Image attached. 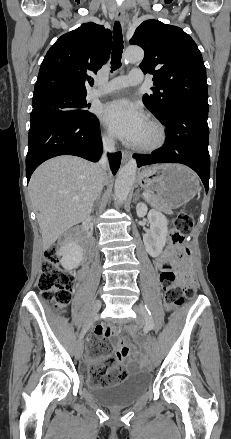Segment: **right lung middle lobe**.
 I'll use <instances>...</instances> for the list:
<instances>
[{
  "mask_svg": "<svg viewBox=\"0 0 231 439\" xmlns=\"http://www.w3.org/2000/svg\"><path fill=\"white\" fill-rule=\"evenodd\" d=\"M86 94L50 93L33 98L30 116L31 127L63 117L92 118Z\"/></svg>",
  "mask_w": 231,
  "mask_h": 439,
  "instance_id": "obj_1",
  "label": "right lung middle lobe"
}]
</instances>
